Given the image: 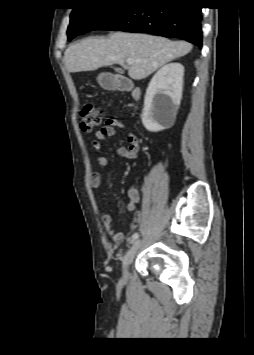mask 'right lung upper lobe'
<instances>
[{"mask_svg":"<svg viewBox=\"0 0 254 355\" xmlns=\"http://www.w3.org/2000/svg\"><path fill=\"white\" fill-rule=\"evenodd\" d=\"M90 1H92V0H90ZM117 1H121V2H126V3H128V2H131L132 0H117Z\"/></svg>","mask_w":254,"mask_h":355,"instance_id":"obj_1","label":"right lung upper lobe"}]
</instances>
